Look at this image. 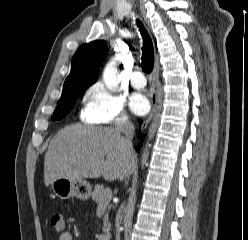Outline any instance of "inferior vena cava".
Returning <instances> with one entry per match:
<instances>
[{"mask_svg": "<svg viewBox=\"0 0 248 240\" xmlns=\"http://www.w3.org/2000/svg\"><path fill=\"white\" fill-rule=\"evenodd\" d=\"M115 130L124 135V140L128 148L132 149V138L134 135V126L131 122L125 119H121L117 122ZM126 178H129V175L125 177V183L127 184ZM116 240H120V231H116Z\"/></svg>", "mask_w": 248, "mask_h": 240, "instance_id": "602c4592", "label": "inferior vena cava"}]
</instances>
